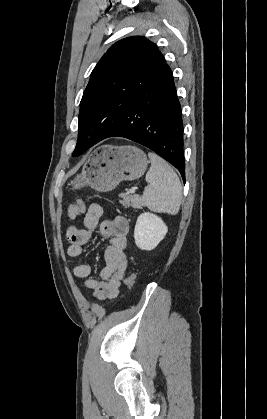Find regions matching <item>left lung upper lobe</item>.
<instances>
[{
  "mask_svg": "<svg viewBox=\"0 0 267 419\" xmlns=\"http://www.w3.org/2000/svg\"><path fill=\"white\" fill-rule=\"evenodd\" d=\"M164 64L157 46L143 36L122 39L108 49L92 71L81 99L73 156L90 148L102 122L124 112Z\"/></svg>",
  "mask_w": 267,
  "mask_h": 419,
  "instance_id": "5c2ea615",
  "label": "left lung upper lobe"
}]
</instances>
